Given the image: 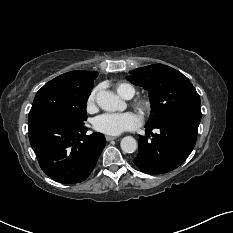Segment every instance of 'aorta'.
I'll list each match as a JSON object with an SVG mask.
<instances>
[{
    "label": "aorta",
    "instance_id": "762f6f07",
    "mask_svg": "<svg viewBox=\"0 0 233 233\" xmlns=\"http://www.w3.org/2000/svg\"><path fill=\"white\" fill-rule=\"evenodd\" d=\"M97 105L105 111L114 112L124 108V102L114 93L106 90L99 91L96 95ZM120 146L123 152L133 153L137 149V142L132 136L124 137Z\"/></svg>",
    "mask_w": 233,
    "mask_h": 233
}]
</instances>
